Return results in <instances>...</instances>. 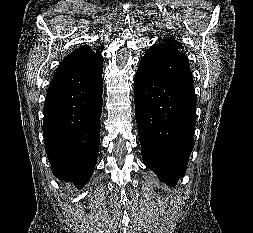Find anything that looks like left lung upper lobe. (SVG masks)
<instances>
[{"label": "left lung upper lobe", "mask_w": 253, "mask_h": 233, "mask_svg": "<svg viewBox=\"0 0 253 233\" xmlns=\"http://www.w3.org/2000/svg\"><path fill=\"white\" fill-rule=\"evenodd\" d=\"M161 43H165V44L177 47L178 49L183 48L182 45L178 41H175L171 37L165 38Z\"/></svg>", "instance_id": "5c2ea615"}]
</instances>
